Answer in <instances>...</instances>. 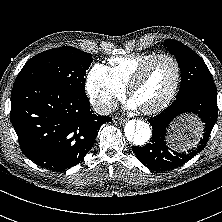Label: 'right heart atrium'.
<instances>
[{
	"instance_id": "right-heart-atrium-1",
	"label": "right heart atrium",
	"mask_w": 222,
	"mask_h": 222,
	"mask_svg": "<svg viewBox=\"0 0 222 222\" xmlns=\"http://www.w3.org/2000/svg\"><path fill=\"white\" fill-rule=\"evenodd\" d=\"M86 89L91 104L99 113H108L117 99L125 94V87L113 77L110 69L102 64H95L89 71Z\"/></svg>"
}]
</instances>
